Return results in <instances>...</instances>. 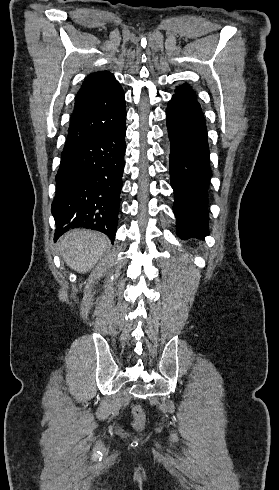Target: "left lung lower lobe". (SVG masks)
Here are the masks:
<instances>
[{"mask_svg":"<svg viewBox=\"0 0 279 490\" xmlns=\"http://www.w3.org/2000/svg\"><path fill=\"white\" fill-rule=\"evenodd\" d=\"M166 115L177 234L182 239H203L209 234L207 190L211 178L204 116L200 105L175 96Z\"/></svg>","mask_w":279,"mask_h":490,"instance_id":"obj_1","label":"left lung lower lobe"}]
</instances>
